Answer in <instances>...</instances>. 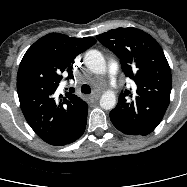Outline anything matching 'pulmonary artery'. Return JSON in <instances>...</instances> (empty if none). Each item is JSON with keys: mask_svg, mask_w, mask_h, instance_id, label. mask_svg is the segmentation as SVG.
Returning a JSON list of instances; mask_svg holds the SVG:
<instances>
[{"mask_svg": "<svg viewBox=\"0 0 187 187\" xmlns=\"http://www.w3.org/2000/svg\"><path fill=\"white\" fill-rule=\"evenodd\" d=\"M116 72H117V66L115 64H111L109 67V80L111 84L115 83Z\"/></svg>", "mask_w": 187, "mask_h": 187, "instance_id": "obj_1", "label": "pulmonary artery"}]
</instances>
